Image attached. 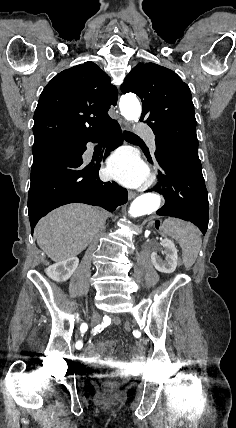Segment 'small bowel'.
I'll list each match as a JSON object with an SVG mask.
<instances>
[{
    "instance_id": "1",
    "label": "small bowel",
    "mask_w": 236,
    "mask_h": 428,
    "mask_svg": "<svg viewBox=\"0 0 236 428\" xmlns=\"http://www.w3.org/2000/svg\"><path fill=\"white\" fill-rule=\"evenodd\" d=\"M120 323L119 317L105 316L102 319V322L92 329V334L100 332L104 327L109 325H117ZM114 343L111 341L99 342L94 346L89 342L85 349L84 360L90 364L100 365V366H110L120 369L133 370L139 367L143 362L145 348L143 343L137 342L133 347V354L130 358H116L108 350H112Z\"/></svg>"
}]
</instances>
